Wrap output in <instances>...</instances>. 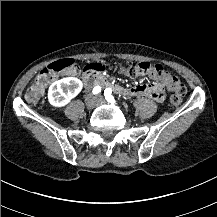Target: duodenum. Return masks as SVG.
Listing matches in <instances>:
<instances>
[{"label":"duodenum","mask_w":217,"mask_h":217,"mask_svg":"<svg viewBox=\"0 0 217 217\" xmlns=\"http://www.w3.org/2000/svg\"><path fill=\"white\" fill-rule=\"evenodd\" d=\"M83 83L86 88L91 89L97 86H103L106 90L116 94H129L130 90L118 84L111 83L108 79L99 74L96 70H88L83 76Z\"/></svg>","instance_id":"410a0bca"}]
</instances>
